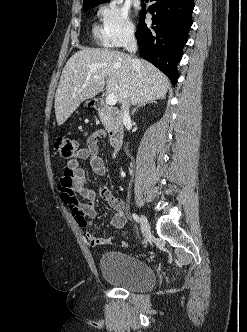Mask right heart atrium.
<instances>
[{
    "label": "right heart atrium",
    "instance_id": "1",
    "mask_svg": "<svg viewBox=\"0 0 247 332\" xmlns=\"http://www.w3.org/2000/svg\"><path fill=\"white\" fill-rule=\"evenodd\" d=\"M103 41L120 47L133 38L135 29L128 9L119 0H109L99 8Z\"/></svg>",
    "mask_w": 247,
    "mask_h": 332
}]
</instances>
